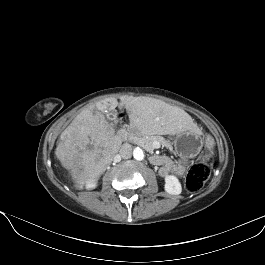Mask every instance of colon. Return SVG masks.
Returning <instances> with one entry per match:
<instances>
[{"mask_svg": "<svg viewBox=\"0 0 265 265\" xmlns=\"http://www.w3.org/2000/svg\"><path fill=\"white\" fill-rule=\"evenodd\" d=\"M205 145L209 150L212 148L213 141L210 137L206 138ZM212 162L213 158L209 154L203 161L190 166L185 177V186L189 192L196 193L203 188L204 183L210 176Z\"/></svg>", "mask_w": 265, "mask_h": 265, "instance_id": "5ec220e1", "label": "colon"}]
</instances>
